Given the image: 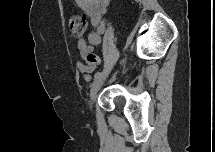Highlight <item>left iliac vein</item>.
<instances>
[{
    "instance_id": "4c4485c4",
    "label": "left iliac vein",
    "mask_w": 215,
    "mask_h": 152,
    "mask_svg": "<svg viewBox=\"0 0 215 152\" xmlns=\"http://www.w3.org/2000/svg\"><path fill=\"white\" fill-rule=\"evenodd\" d=\"M111 71V67H107L104 69L103 72H101V75L94 81L91 91H90V100H89V107L92 108L93 102L95 101L97 97V92L105 79L108 77L109 73Z\"/></svg>"
}]
</instances>
